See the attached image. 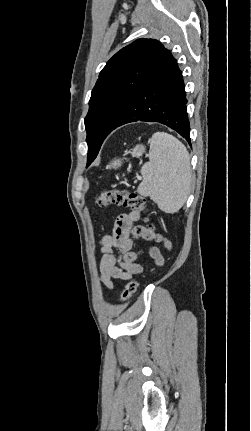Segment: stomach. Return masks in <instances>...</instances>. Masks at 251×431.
<instances>
[{
  "instance_id": "0dacf381",
  "label": "stomach",
  "mask_w": 251,
  "mask_h": 431,
  "mask_svg": "<svg viewBox=\"0 0 251 431\" xmlns=\"http://www.w3.org/2000/svg\"><path fill=\"white\" fill-rule=\"evenodd\" d=\"M144 151H145V147L143 145H137V146L134 147V149H132L131 154L134 157H139V156H141L144 153ZM121 164H122V162H121L120 159H115L111 163L110 167L111 168H118V167L121 166Z\"/></svg>"
}]
</instances>
